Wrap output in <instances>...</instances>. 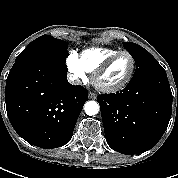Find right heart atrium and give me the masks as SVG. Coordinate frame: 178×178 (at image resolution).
Returning <instances> with one entry per match:
<instances>
[{"instance_id":"1","label":"right heart atrium","mask_w":178,"mask_h":178,"mask_svg":"<svg viewBox=\"0 0 178 178\" xmlns=\"http://www.w3.org/2000/svg\"><path fill=\"white\" fill-rule=\"evenodd\" d=\"M67 66L72 79L77 83H84L88 80L87 72L81 66L78 56L76 54L69 55L67 59Z\"/></svg>"}]
</instances>
